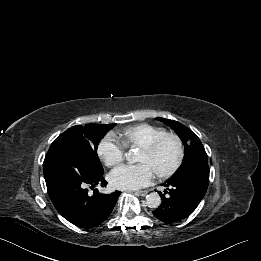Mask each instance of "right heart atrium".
<instances>
[{
    "mask_svg": "<svg viewBox=\"0 0 261 261\" xmlns=\"http://www.w3.org/2000/svg\"><path fill=\"white\" fill-rule=\"evenodd\" d=\"M97 154L108 167L120 164L124 158V148L112 134L105 135L97 145Z\"/></svg>",
    "mask_w": 261,
    "mask_h": 261,
    "instance_id": "right-heart-atrium-1",
    "label": "right heart atrium"
}]
</instances>
